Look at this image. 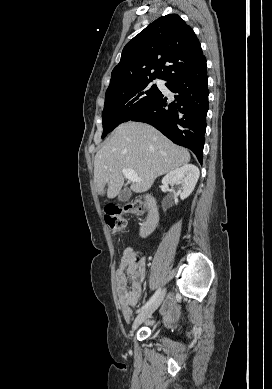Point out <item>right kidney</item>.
I'll list each match as a JSON object with an SVG mask.
<instances>
[{
    "label": "right kidney",
    "instance_id": "obj_1",
    "mask_svg": "<svg viewBox=\"0 0 272 389\" xmlns=\"http://www.w3.org/2000/svg\"><path fill=\"white\" fill-rule=\"evenodd\" d=\"M200 172L199 169L192 164H186L169 172L162 180L163 185L174 183L181 184L180 198L186 199L194 190L198 181Z\"/></svg>",
    "mask_w": 272,
    "mask_h": 389
}]
</instances>
